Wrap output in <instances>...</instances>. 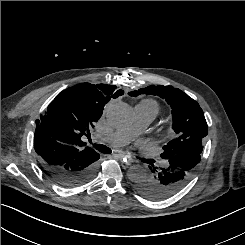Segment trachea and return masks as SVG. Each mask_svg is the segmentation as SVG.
<instances>
[{
  "label": "trachea",
  "instance_id": "obj_1",
  "mask_svg": "<svg viewBox=\"0 0 245 245\" xmlns=\"http://www.w3.org/2000/svg\"><path fill=\"white\" fill-rule=\"evenodd\" d=\"M93 146L101 153H104V154H109L111 153V149L108 148L107 146L105 145H97V144H93Z\"/></svg>",
  "mask_w": 245,
  "mask_h": 245
}]
</instances>
